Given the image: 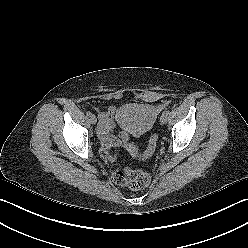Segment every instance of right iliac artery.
Returning a JSON list of instances; mask_svg holds the SVG:
<instances>
[{
	"mask_svg": "<svg viewBox=\"0 0 248 248\" xmlns=\"http://www.w3.org/2000/svg\"><path fill=\"white\" fill-rule=\"evenodd\" d=\"M86 115H87L88 117H90V116L92 115V113H91L90 111H88V112L86 113Z\"/></svg>",
	"mask_w": 248,
	"mask_h": 248,
	"instance_id": "right-iliac-artery-1",
	"label": "right iliac artery"
}]
</instances>
